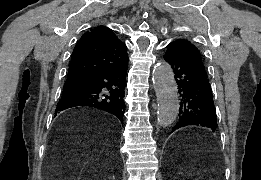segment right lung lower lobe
Masks as SVG:
<instances>
[{
  "label": "right lung lower lobe",
  "instance_id": "98d812e1",
  "mask_svg": "<svg viewBox=\"0 0 261 180\" xmlns=\"http://www.w3.org/2000/svg\"><path fill=\"white\" fill-rule=\"evenodd\" d=\"M127 67L128 63L95 72L81 89L62 94L56 107V115L71 107L90 106L117 116L123 123Z\"/></svg>",
  "mask_w": 261,
  "mask_h": 180
}]
</instances>
